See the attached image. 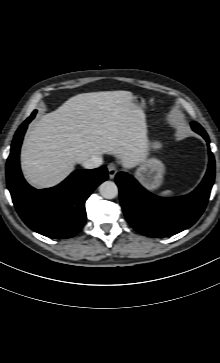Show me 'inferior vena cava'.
I'll use <instances>...</instances> for the list:
<instances>
[{
	"mask_svg": "<svg viewBox=\"0 0 220 363\" xmlns=\"http://www.w3.org/2000/svg\"><path fill=\"white\" fill-rule=\"evenodd\" d=\"M102 162V157L92 156L91 158L85 160L82 165L86 169H94L100 167Z\"/></svg>",
	"mask_w": 220,
	"mask_h": 363,
	"instance_id": "obj_1",
	"label": "inferior vena cava"
}]
</instances>
